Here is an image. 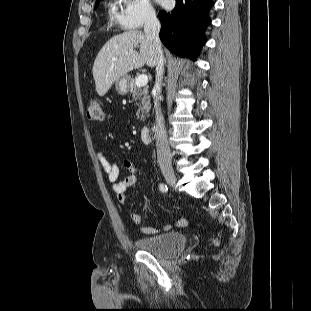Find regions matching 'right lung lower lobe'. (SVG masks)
Returning a JSON list of instances; mask_svg holds the SVG:
<instances>
[{"instance_id":"98d812e1","label":"right lung lower lobe","mask_w":311,"mask_h":311,"mask_svg":"<svg viewBox=\"0 0 311 311\" xmlns=\"http://www.w3.org/2000/svg\"><path fill=\"white\" fill-rule=\"evenodd\" d=\"M213 6V0H176L171 12H159L161 41L177 55L195 57L206 42L205 29Z\"/></svg>"}]
</instances>
